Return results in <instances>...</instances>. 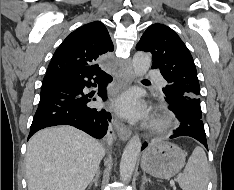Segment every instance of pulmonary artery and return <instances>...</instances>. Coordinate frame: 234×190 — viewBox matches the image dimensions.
<instances>
[{"mask_svg":"<svg viewBox=\"0 0 234 190\" xmlns=\"http://www.w3.org/2000/svg\"><path fill=\"white\" fill-rule=\"evenodd\" d=\"M147 76L148 77H152V78H156V80H157V82H158V84L160 86H164L165 85V81L156 74V72L154 71V69H148L147 70Z\"/></svg>","mask_w":234,"mask_h":190,"instance_id":"1","label":"pulmonary artery"}]
</instances>
